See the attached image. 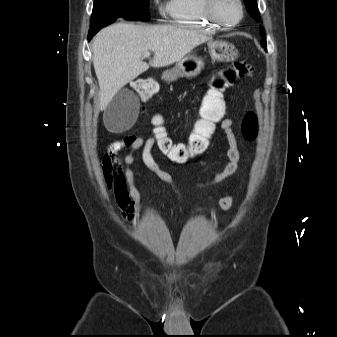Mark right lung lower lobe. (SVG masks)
Instances as JSON below:
<instances>
[{
  "label": "right lung lower lobe",
  "instance_id": "right-lung-lower-lobe-1",
  "mask_svg": "<svg viewBox=\"0 0 337 337\" xmlns=\"http://www.w3.org/2000/svg\"><path fill=\"white\" fill-rule=\"evenodd\" d=\"M113 22H101V23H97L93 26H91L90 30H89V34H88V40H91L92 37L103 27L111 24Z\"/></svg>",
  "mask_w": 337,
  "mask_h": 337
}]
</instances>
